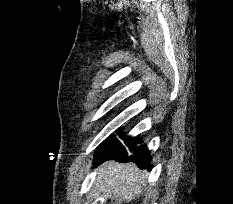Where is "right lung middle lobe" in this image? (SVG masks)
Wrapping results in <instances>:
<instances>
[{
    "mask_svg": "<svg viewBox=\"0 0 233 204\" xmlns=\"http://www.w3.org/2000/svg\"><path fill=\"white\" fill-rule=\"evenodd\" d=\"M120 138L125 141V145H123L117 138L112 137L109 141L102 144V148L109 151L130 150L143 142L140 138L130 136L124 137L121 134Z\"/></svg>",
    "mask_w": 233,
    "mask_h": 204,
    "instance_id": "dd1d6c3e",
    "label": "right lung middle lobe"
}]
</instances>
